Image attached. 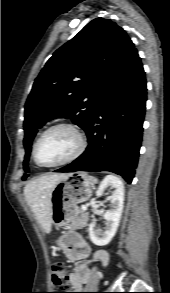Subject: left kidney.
<instances>
[{
  "label": "left kidney",
  "instance_id": "1",
  "mask_svg": "<svg viewBox=\"0 0 170 293\" xmlns=\"http://www.w3.org/2000/svg\"><path fill=\"white\" fill-rule=\"evenodd\" d=\"M114 188V193L110 196V209L103 217L106 220L105 230L95 229V224L89 225V236L91 241L97 246L108 244L114 237L119 226L124 204V185L122 181L115 176H106L101 182L96 195L102 196L107 188Z\"/></svg>",
  "mask_w": 170,
  "mask_h": 293
}]
</instances>
